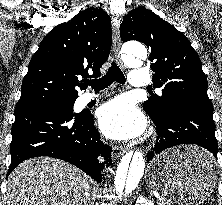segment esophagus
I'll list each match as a JSON object with an SVG mask.
<instances>
[{"mask_svg":"<svg viewBox=\"0 0 222 205\" xmlns=\"http://www.w3.org/2000/svg\"><path fill=\"white\" fill-rule=\"evenodd\" d=\"M120 24L121 17L116 15L112 18V28H113V51L115 57L121 67H124L120 60V47H121V38H120ZM124 153V149L119 146H114L112 149V158L114 160L118 159Z\"/></svg>","mask_w":222,"mask_h":205,"instance_id":"34e87169","label":"esophagus"}]
</instances>
